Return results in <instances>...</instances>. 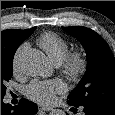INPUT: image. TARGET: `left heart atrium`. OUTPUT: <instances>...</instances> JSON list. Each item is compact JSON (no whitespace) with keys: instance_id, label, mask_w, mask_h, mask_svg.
Listing matches in <instances>:
<instances>
[{"instance_id":"39dd6f15","label":"left heart atrium","mask_w":115,"mask_h":115,"mask_svg":"<svg viewBox=\"0 0 115 115\" xmlns=\"http://www.w3.org/2000/svg\"><path fill=\"white\" fill-rule=\"evenodd\" d=\"M66 87L59 79L34 80L24 90L25 95L42 105H50L55 101L56 95L63 93Z\"/></svg>"}]
</instances>
